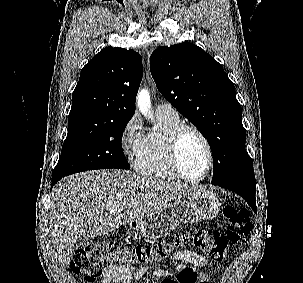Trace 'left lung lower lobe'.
<instances>
[{"instance_id": "1", "label": "left lung lower lobe", "mask_w": 303, "mask_h": 283, "mask_svg": "<svg viewBox=\"0 0 303 283\" xmlns=\"http://www.w3.org/2000/svg\"><path fill=\"white\" fill-rule=\"evenodd\" d=\"M217 186L234 191L242 196L245 201L250 205L254 212H256L255 204V183L241 182V183H225L218 184Z\"/></svg>"}]
</instances>
